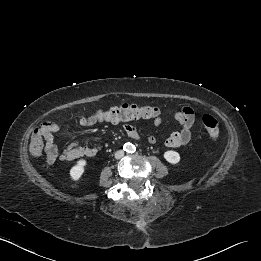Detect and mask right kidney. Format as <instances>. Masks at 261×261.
Returning a JSON list of instances; mask_svg holds the SVG:
<instances>
[{
	"label": "right kidney",
	"mask_w": 261,
	"mask_h": 261,
	"mask_svg": "<svg viewBox=\"0 0 261 261\" xmlns=\"http://www.w3.org/2000/svg\"><path fill=\"white\" fill-rule=\"evenodd\" d=\"M86 164L87 162L84 159L77 161V163L70 169V176L72 180L78 181L82 177Z\"/></svg>",
	"instance_id": "obj_1"
}]
</instances>
